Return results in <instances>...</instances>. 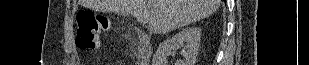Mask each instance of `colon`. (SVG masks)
<instances>
[{
  "instance_id": "1",
  "label": "colon",
  "mask_w": 309,
  "mask_h": 65,
  "mask_svg": "<svg viewBox=\"0 0 309 65\" xmlns=\"http://www.w3.org/2000/svg\"><path fill=\"white\" fill-rule=\"evenodd\" d=\"M76 44L83 50H94L100 46V34L111 27L109 17L90 11H79L76 15Z\"/></svg>"
}]
</instances>
